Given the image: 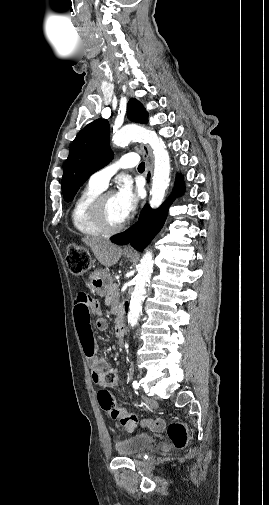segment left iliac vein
I'll return each mask as SVG.
<instances>
[{"label": "left iliac vein", "instance_id": "4c4485c4", "mask_svg": "<svg viewBox=\"0 0 269 505\" xmlns=\"http://www.w3.org/2000/svg\"><path fill=\"white\" fill-rule=\"evenodd\" d=\"M145 400L147 402V407L151 409L152 411H157L158 410V404L156 400H153L151 398L145 397Z\"/></svg>", "mask_w": 269, "mask_h": 505}]
</instances>
